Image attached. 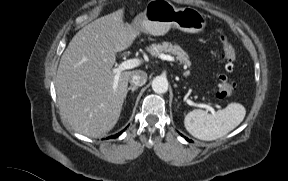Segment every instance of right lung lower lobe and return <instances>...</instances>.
<instances>
[{"label":"right lung lower lobe","mask_w":288,"mask_h":181,"mask_svg":"<svg viewBox=\"0 0 288 181\" xmlns=\"http://www.w3.org/2000/svg\"><path fill=\"white\" fill-rule=\"evenodd\" d=\"M121 134H122V132H120V133H118V134H116V135L110 136L109 138H116V137H118V136L121 135Z\"/></svg>","instance_id":"right-lung-lower-lobe-1"}]
</instances>
